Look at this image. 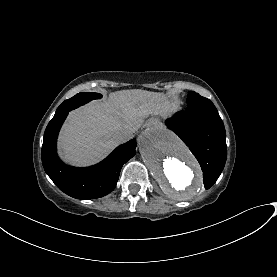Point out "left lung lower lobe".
<instances>
[{
	"label": "left lung lower lobe",
	"instance_id": "1",
	"mask_svg": "<svg viewBox=\"0 0 277 277\" xmlns=\"http://www.w3.org/2000/svg\"><path fill=\"white\" fill-rule=\"evenodd\" d=\"M166 125L197 158L203 171L204 186L209 189L220 176L227 157L226 132L220 116L177 112Z\"/></svg>",
	"mask_w": 277,
	"mask_h": 277
}]
</instances>
